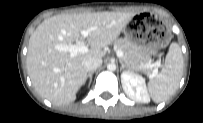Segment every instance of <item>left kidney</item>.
I'll use <instances>...</instances> for the list:
<instances>
[{
	"mask_svg": "<svg viewBox=\"0 0 203 123\" xmlns=\"http://www.w3.org/2000/svg\"><path fill=\"white\" fill-rule=\"evenodd\" d=\"M121 83L126 95L134 101L140 103H148L150 101L145 79L130 71H124L121 73Z\"/></svg>",
	"mask_w": 203,
	"mask_h": 123,
	"instance_id": "left-kidney-1",
	"label": "left kidney"
}]
</instances>
